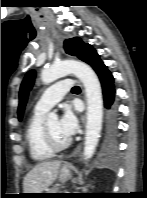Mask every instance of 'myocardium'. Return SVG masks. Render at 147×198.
<instances>
[{"label":"myocardium","instance_id":"f54148a6","mask_svg":"<svg viewBox=\"0 0 147 198\" xmlns=\"http://www.w3.org/2000/svg\"><path fill=\"white\" fill-rule=\"evenodd\" d=\"M43 134H44V140H45L47 147L54 153L60 152L64 149H66L70 144L69 141H67L64 144L55 143L46 126H44V128H43Z\"/></svg>","mask_w":147,"mask_h":198}]
</instances>
